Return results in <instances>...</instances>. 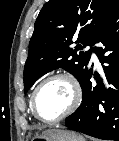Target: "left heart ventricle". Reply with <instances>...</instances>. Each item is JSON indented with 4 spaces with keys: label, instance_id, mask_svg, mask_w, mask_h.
<instances>
[{
    "label": "left heart ventricle",
    "instance_id": "obj_1",
    "mask_svg": "<svg viewBox=\"0 0 119 141\" xmlns=\"http://www.w3.org/2000/svg\"><path fill=\"white\" fill-rule=\"evenodd\" d=\"M72 93L65 80L57 79L45 84L36 98V109L43 119H53L69 106Z\"/></svg>",
    "mask_w": 119,
    "mask_h": 141
}]
</instances>
